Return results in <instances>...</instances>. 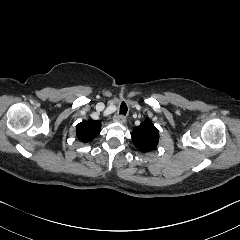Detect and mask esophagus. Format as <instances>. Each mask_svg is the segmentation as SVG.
<instances>
[{
	"label": "esophagus",
	"instance_id": "34e87169",
	"mask_svg": "<svg viewBox=\"0 0 240 240\" xmlns=\"http://www.w3.org/2000/svg\"><path fill=\"white\" fill-rule=\"evenodd\" d=\"M114 122H119V123H125L126 122V117L123 115H115L113 117Z\"/></svg>",
	"mask_w": 240,
	"mask_h": 240
}]
</instances>
